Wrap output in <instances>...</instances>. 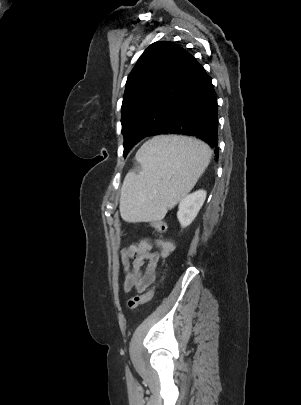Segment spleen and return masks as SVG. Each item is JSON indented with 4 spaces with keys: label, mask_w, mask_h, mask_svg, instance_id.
Segmentation results:
<instances>
[{
    "label": "spleen",
    "mask_w": 301,
    "mask_h": 405,
    "mask_svg": "<svg viewBox=\"0 0 301 405\" xmlns=\"http://www.w3.org/2000/svg\"><path fill=\"white\" fill-rule=\"evenodd\" d=\"M212 152L200 140L175 135L156 136L137 152L141 169L126 175L120 214L128 222L161 220L196 184Z\"/></svg>",
    "instance_id": "spleen-1"
}]
</instances>
